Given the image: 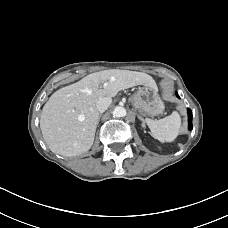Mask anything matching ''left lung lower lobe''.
<instances>
[{"label":"left lung lower lobe","mask_w":228,"mask_h":228,"mask_svg":"<svg viewBox=\"0 0 228 228\" xmlns=\"http://www.w3.org/2000/svg\"><path fill=\"white\" fill-rule=\"evenodd\" d=\"M176 96L179 98L177 93H176ZM187 113H188V125H189V128L192 129V111L188 108Z\"/></svg>","instance_id":"left-lung-lower-lobe-1"}]
</instances>
